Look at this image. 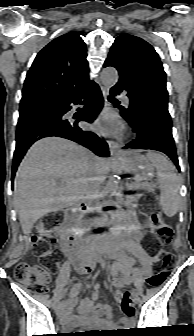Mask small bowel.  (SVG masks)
<instances>
[{
	"label": "small bowel",
	"mask_w": 194,
	"mask_h": 336,
	"mask_svg": "<svg viewBox=\"0 0 194 336\" xmlns=\"http://www.w3.org/2000/svg\"><path fill=\"white\" fill-rule=\"evenodd\" d=\"M127 221L126 238L120 240L112 251L114 262L111 267L109 282L117 288H123L131 283L139 285L153 271L154 260L142 247L141 241L144 233L141 225L136 220L134 211H128ZM134 258L140 262V269L135 267ZM75 265L82 274L91 272V268L88 266L77 263ZM99 290L100 286L96 285L91 297L81 301L77 307V314H75L73 310L77 304L79 293V285H75L71 291L70 298L64 302L61 308L63 323L71 326L78 324L91 326L99 324L112 325V307L109 304H95V301L99 298ZM115 299L117 301L122 300V294L119 290L115 293ZM122 322L125 326L133 324L132 318H124Z\"/></svg>",
	"instance_id": "small-bowel-1"
}]
</instances>
